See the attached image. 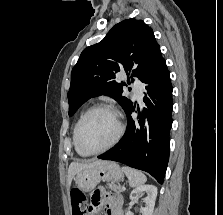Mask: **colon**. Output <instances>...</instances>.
<instances>
[{
    "label": "colon",
    "mask_w": 223,
    "mask_h": 215,
    "mask_svg": "<svg viewBox=\"0 0 223 215\" xmlns=\"http://www.w3.org/2000/svg\"><path fill=\"white\" fill-rule=\"evenodd\" d=\"M71 203L73 215H87V201L84 193L78 188L71 190Z\"/></svg>",
    "instance_id": "1"
}]
</instances>
